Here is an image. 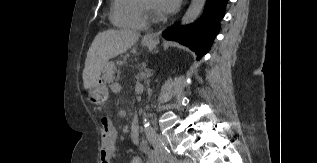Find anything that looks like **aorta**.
Here are the masks:
<instances>
[{
	"instance_id": "1",
	"label": "aorta",
	"mask_w": 317,
	"mask_h": 163,
	"mask_svg": "<svg viewBox=\"0 0 317 163\" xmlns=\"http://www.w3.org/2000/svg\"><path fill=\"white\" fill-rule=\"evenodd\" d=\"M205 3L206 0H192L189 8L187 9L186 13L184 14L181 20V25H187L194 22L203 11ZM143 123L147 124L146 113L143 114Z\"/></svg>"
}]
</instances>
